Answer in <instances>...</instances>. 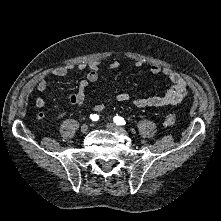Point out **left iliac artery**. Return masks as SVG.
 <instances>
[{
    "mask_svg": "<svg viewBox=\"0 0 221 221\" xmlns=\"http://www.w3.org/2000/svg\"><path fill=\"white\" fill-rule=\"evenodd\" d=\"M113 121L117 124V125H125L126 122L124 120V118L120 117V116H115Z\"/></svg>",
    "mask_w": 221,
    "mask_h": 221,
    "instance_id": "obj_1",
    "label": "left iliac artery"
}]
</instances>
